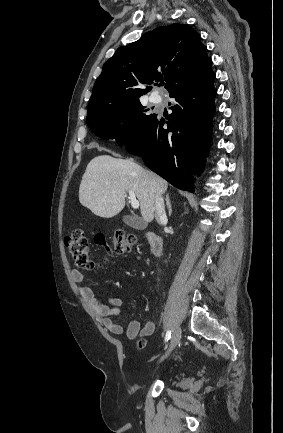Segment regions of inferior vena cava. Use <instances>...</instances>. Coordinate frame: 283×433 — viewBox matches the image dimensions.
<instances>
[{
  "label": "inferior vena cava",
  "instance_id": "602c4592",
  "mask_svg": "<svg viewBox=\"0 0 283 433\" xmlns=\"http://www.w3.org/2000/svg\"><path fill=\"white\" fill-rule=\"evenodd\" d=\"M155 217L157 221H166L167 219L163 196H156L155 198Z\"/></svg>",
  "mask_w": 283,
  "mask_h": 433
}]
</instances>
